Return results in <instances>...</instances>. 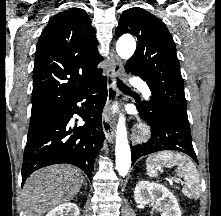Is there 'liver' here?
I'll return each instance as SVG.
<instances>
[{
	"mask_svg": "<svg viewBox=\"0 0 221 216\" xmlns=\"http://www.w3.org/2000/svg\"><path fill=\"white\" fill-rule=\"evenodd\" d=\"M81 172L71 165H52L34 172L23 187L25 216H43L74 199L83 184Z\"/></svg>",
	"mask_w": 221,
	"mask_h": 216,
	"instance_id": "obj_1",
	"label": "liver"
}]
</instances>
